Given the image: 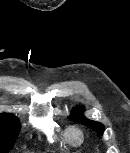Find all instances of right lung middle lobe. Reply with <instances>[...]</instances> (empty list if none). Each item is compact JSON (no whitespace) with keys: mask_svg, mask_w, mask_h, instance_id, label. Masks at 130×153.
Returning a JSON list of instances; mask_svg holds the SVG:
<instances>
[{"mask_svg":"<svg viewBox=\"0 0 130 153\" xmlns=\"http://www.w3.org/2000/svg\"><path fill=\"white\" fill-rule=\"evenodd\" d=\"M19 130L20 122L17 117L0 115V153H8L13 148Z\"/></svg>","mask_w":130,"mask_h":153,"instance_id":"dd1d6c3e","label":"right lung middle lobe"}]
</instances>
